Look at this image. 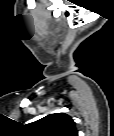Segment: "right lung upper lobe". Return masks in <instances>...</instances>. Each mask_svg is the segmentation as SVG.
I'll list each match as a JSON object with an SVG mask.
<instances>
[{
	"label": "right lung upper lobe",
	"mask_w": 114,
	"mask_h": 136,
	"mask_svg": "<svg viewBox=\"0 0 114 136\" xmlns=\"http://www.w3.org/2000/svg\"><path fill=\"white\" fill-rule=\"evenodd\" d=\"M28 128L35 136H78L75 122L65 113L47 115L29 124Z\"/></svg>",
	"instance_id": "cb5924a9"
}]
</instances>
